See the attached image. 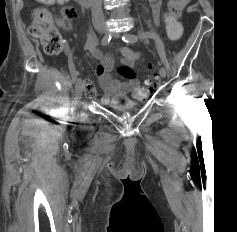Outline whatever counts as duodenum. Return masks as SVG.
Returning a JSON list of instances; mask_svg holds the SVG:
<instances>
[{"label":"duodenum","instance_id":"duodenum-1","mask_svg":"<svg viewBox=\"0 0 237 232\" xmlns=\"http://www.w3.org/2000/svg\"><path fill=\"white\" fill-rule=\"evenodd\" d=\"M77 3L79 5H81L82 7H88L89 6V3H90V0H76Z\"/></svg>","mask_w":237,"mask_h":232}]
</instances>
